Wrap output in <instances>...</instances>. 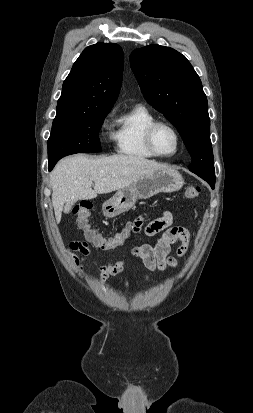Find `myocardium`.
Wrapping results in <instances>:
<instances>
[{
  "label": "myocardium",
  "instance_id": "1",
  "mask_svg": "<svg viewBox=\"0 0 253 413\" xmlns=\"http://www.w3.org/2000/svg\"><path fill=\"white\" fill-rule=\"evenodd\" d=\"M160 126L168 127L175 135L177 145H176L175 151L172 154H162L155 147L154 134H155L156 129ZM144 140H145L147 149L154 156L161 157V158H171L175 156L180 151L181 144H182L181 136L177 128L172 123L165 121V120H155L152 123H150L145 129Z\"/></svg>",
  "mask_w": 253,
  "mask_h": 413
}]
</instances>
